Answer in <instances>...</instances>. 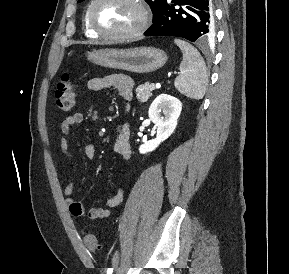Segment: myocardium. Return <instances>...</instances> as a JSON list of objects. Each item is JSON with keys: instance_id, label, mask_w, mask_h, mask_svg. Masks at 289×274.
I'll list each match as a JSON object with an SVG mask.
<instances>
[{"instance_id": "1", "label": "myocardium", "mask_w": 289, "mask_h": 274, "mask_svg": "<svg viewBox=\"0 0 289 274\" xmlns=\"http://www.w3.org/2000/svg\"><path fill=\"white\" fill-rule=\"evenodd\" d=\"M101 0H92L87 8V21L90 26V28L98 35L106 39L110 40H116V41H126V40H132L139 36H141L145 30L147 29L149 25V11L144 3L143 0H130L132 3H134L137 8L139 9L140 13V21L139 24L132 30L124 33H111L106 32L102 29H100L94 19H93V10L94 7L100 2Z\"/></svg>"}]
</instances>
